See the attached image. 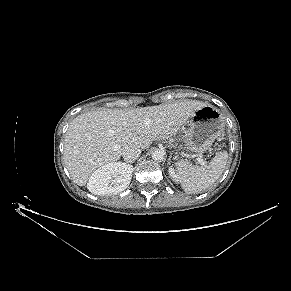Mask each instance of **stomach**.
<instances>
[{"instance_id":"stomach-1","label":"stomach","mask_w":291,"mask_h":291,"mask_svg":"<svg viewBox=\"0 0 291 291\" xmlns=\"http://www.w3.org/2000/svg\"><path fill=\"white\" fill-rule=\"evenodd\" d=\"M187 126L183 141L185 149L193 153L206 152L224 129L221 113L211 105L196 110L187 121Z\"/></svg>"}]
</instances>
